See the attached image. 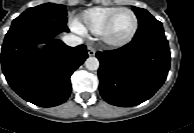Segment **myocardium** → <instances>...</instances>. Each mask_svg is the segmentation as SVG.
Segmentation results:
<instances>
[{
	"mask_svg": "<svg viewBox=\"0 0 194 133\" xmlns=\"http://www.w3.org/2000/svg\"><path fill=\"white\" fill-rule=\"evenodd\" d=\"M123 11L130 12L133 15L134 27H133L131 33L129 34V36L126 37L125 39L113 40L109 35L111 26H112L115 18L117 17V15ZM138 26H139V20H138L136 13L130 8L122 7L110 15V17L106 20V22L104 23V25H103V27L98 35L107 45L112 46V47H122V46L127 45L128 43H130L133 40V38L136 35V32L138 30Z\"/></svg>",
	"mask_w": 194,
	"mask_h": 133,
	"instance_id": "f54148a6",
	"label": "myocardium"
}]
</instances>
